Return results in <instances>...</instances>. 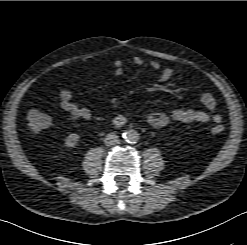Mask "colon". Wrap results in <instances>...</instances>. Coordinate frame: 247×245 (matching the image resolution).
Masks as SVG:
<instances>
[{"mask_svg":"<svg viewBox=\"0 0 247 245\" xmlns=\"http://www.w3.org/2000/svg\"><path fill=\"white\" fill-rule=\"evenodd\" d=\"M27 121L29 130L34 134L42 132L50 124L48 116L36 108H32L27 112ZM223 131L224 125L221 122L215 123L211 128L213 134H221Z\"/></svg>","mask_w":247,"mask_h":245,"instance_id":"obj_1","label":"colon"}]
</instances>
